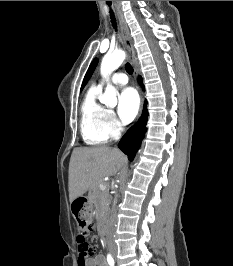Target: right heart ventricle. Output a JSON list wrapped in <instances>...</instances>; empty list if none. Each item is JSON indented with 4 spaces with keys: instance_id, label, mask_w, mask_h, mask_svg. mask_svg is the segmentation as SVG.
Masks as SVG:
<instances>
[{
    "instance_id": "1",
    "label": "right heart ventricle",
    "mask_w": 233,
    "mask_h": 266,
    "mask_svg": "<svg viewBox=\"0 0 233 266\" xmlns=\"http://www.w3.org/2000/svg\"><path fill=\"white\" fill-rule=\"evenodd\" d=\"M100 92L99 86L91 87L81 106V136L89 145L103 144L108 139L103 127L107 109L98 101Z\"/></svg>"
}]
</instances>
